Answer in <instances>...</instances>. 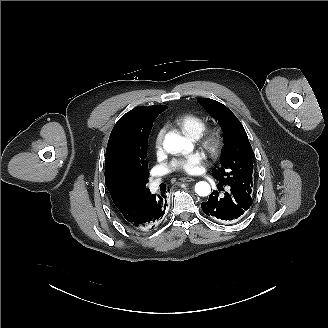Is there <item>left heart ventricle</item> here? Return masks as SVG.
Wrapping results in <instances>:
<instances>
[{
    "label": "left heart ventricle",
    "mask_w": 328,
    "mask_h": 328,
    "mask_svg": "<svg viewBox=\"0 0 328 328\" xmlns=\"http://www.w3.org/2000/svg\"><path fill=\"white\" fill-rule=\"evenodd\" d=\"M192 150V149H191ZM190 150V151H191ZM189 151V152H190ZM199 155L203 158V160L204 161H208V158H209V152L207 151V150H205V149H203L200 153H199Z\"/></svg>",
    "instance_id": "left-heart-ventricle-1"
}]
</instances>
